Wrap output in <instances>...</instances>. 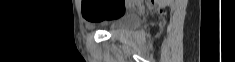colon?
Masks as SVG:
<instances>
[{
  "label": "colon",
  "mask_w": 235,
  "mask_h": 62,
  "mask_svg": "<svg viewBox=\"0 0 235 62\" xmlns=\"http://www.w3.org/2000/svg\"><path fill=\"white\" fill-rule=\"evenodd\" d=\"M131 2L129 0H108L101 5L95 0H83V16L91 23L114 18L122 15Z\"/></svg>",
  "instance_id": "1"
}]
</instances>
